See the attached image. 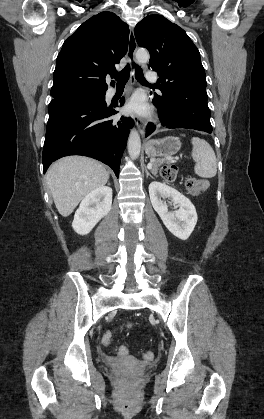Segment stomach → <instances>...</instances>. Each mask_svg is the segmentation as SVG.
<instances>
[{
  "mask_svg": "<svg viewBox=\"0 0 264 419\" xmlns=\"http://www.w3.org/2000/svg\"><path fill=\"white\" fill-rule=\"evenodd\" d=\"M181 147L179 138L166 137L160 140H149L145 144V152L149 157H170Z\"/></svg>",
  "mask_w": 264,
  "mask_h": 419,
  "instance_id": "stomach-1",
  "label": "stomach"
}]
</instances>
